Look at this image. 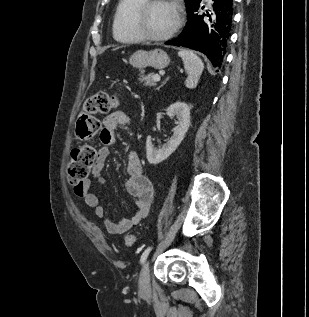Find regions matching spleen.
Listing matches in <instances>:
<instances>
[{"label":"spleen","instance_id":"obj_1","mask_svg":"<svg viewBox=\"0 0 309 317\" xmlns=\"http://www.w3.org/2000/svg\"><path fill=\"white\" fill-rule=\"evenodd\" d=\"M178 55L182 58L184 68L187 72L185 85L187 88L193 89L197 86L199 78L203 72L204 64L202 60L192 51L181 50Z\"/></svg>","mask_w":309,"mask_h":317}]
</instances>
